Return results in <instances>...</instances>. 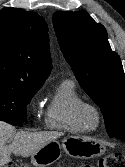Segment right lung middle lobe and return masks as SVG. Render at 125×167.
Returning <instances> with one entry per match:
<instances>
[{
    "label": "right lung middle lobe",
    "mask_w": 125,
    "mask_h": 167,
    "mask_svg": "<svg viewBox=\"0 0 125 167\" xmlns=\"http://www.w3.org/2000/svg\"><path fill=\"white\" fill-rule=\"evenodd\" d=\"M37 91L0 87V121L22 126L27 121L26 105Z\"/></svg>",
    "instance_id": "right-lung-middle-lobe-1"
}]
</instances>
